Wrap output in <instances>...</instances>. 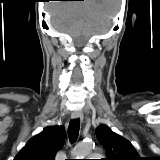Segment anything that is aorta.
Returning a JSON list of instances; mask_svg holds the SVG:
<instances>
[{"instance_id": "obj_1", "label": "aorta", "mask_w": 160, "mask_h": 160, "mask_svg": "<svg viewBox=\"0 0 160 160\" xmlns=\"http://www.w3.org/2000/svg\"><path fill=\"white\" fill-rule=\"evenodd\" d=\"M91 150H92L91 142H81L75 147L73 155L77 157L76 159H83V157H86Z\"/></svg>"}]
</instances>
